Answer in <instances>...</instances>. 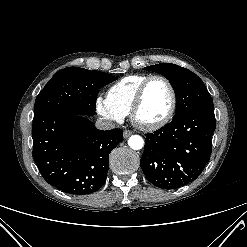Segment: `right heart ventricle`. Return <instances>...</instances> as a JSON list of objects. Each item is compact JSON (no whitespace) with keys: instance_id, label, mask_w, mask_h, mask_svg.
Masks as SVG:
<instances>
[{"instance_id":"1","label":"right heart ventricle","mask_w":247,"mask_h":247,"mask_svg":"<svg viewBox=\"0 0 247 247\" xmlns=\"http://www.w3.org/2000/svg\"><path fill=\"white\" fill-rule=\"evenodd\" d=\"M149 76L151 75L131 74L121 78L108 89V100L124 116L128 115L138 88Z\"/></svg>"}]
</instances>
